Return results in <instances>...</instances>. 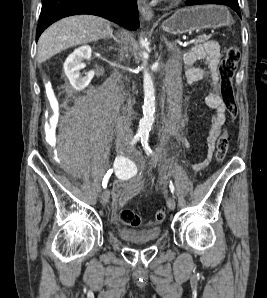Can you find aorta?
<instances>
[{
  "label": "aorta",
  "instance_id": "1",
  "mask_svg": "<svg viewBox=\"0 0 267 298\" xmlns=\"http://www.w3.org/2000/svg\"><path fill=\"white\" fill-rule=\"evenodd\" d=\"M140 44L146 46L147 40L140 38ZM147 53H143V86H144V105H143V117L139 123V134H146L150 131L154 122L155 113V90L151 74L146 68L147 65Z\"/></svg>",
  "mask_w": 267,
  "mask_h": 298
}]
</instances>
